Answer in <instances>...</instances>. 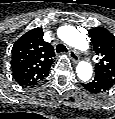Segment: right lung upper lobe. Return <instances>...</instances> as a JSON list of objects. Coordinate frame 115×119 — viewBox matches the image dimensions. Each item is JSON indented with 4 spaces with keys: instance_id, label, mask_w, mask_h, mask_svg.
Here are the masks:
<instances>
[{
    "instance_id": "right-lung-upper-lobe-1",
    "label": "right lung upper lobe",
    "mask_w": 115,
    "mask_h": 119,
    "mask_svg": "<svg viewBox=\"0 0 115 119\" xmlns=\"http://www.w3.org/2000/svg\"><path fill=\"white\" fill-rule=\"evenodd\" d=\"M54 56V49L44 41L41 28L28 31L12 47L11 68L14 79L23 86L38 84L47 76Z\"/></svg>"
}]
</instances>
